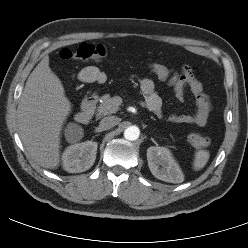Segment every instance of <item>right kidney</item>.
Wrapping results in <instances>:
<instances>
[{"label": "right kidney", "instance_id": "right-kidney-1", "mask_svg": "<svg viewBox=\"0 0 248 248\" xmlns=\"http://www.w3.org/2000/svg\"><path fill=\"white\" fill-rule=\"evenodd\" d=\"M97 146L96 142L86 141L67 147L62 155L64 170L80 173L90 169L96 159Z\"/></svg>", "mask_w": 248, "mask_h": 248}]
</instances>
